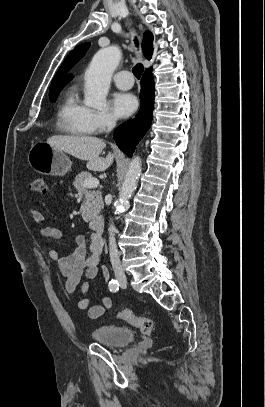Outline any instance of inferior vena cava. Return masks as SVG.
I'll return each mask as SVG.
<instances>
[{"label": "inferior vena cava", "mask_w": 265, "mask_h": 407, "mask_svg": "<svg viewBox=\"0 0 265 407\" xmlns=\"http://www.w3.org/2000/svg\"><path fill=\"white\" fill-rule=\"evenodd\" d=\"M116 125V119L112 116H107L106 118V126H107V132H110ZM109 254H110V261L111 265L114 270V274L116 278H125L124 270L122 268L120 258H119V252L117 249L115 237H114V232H115V227L110 226L109 229Z\"/></svg>", "instance_id": "inferior-vena-cava-1"}]
</instances>
